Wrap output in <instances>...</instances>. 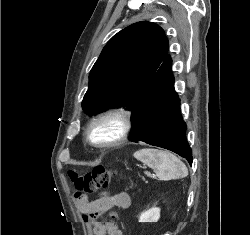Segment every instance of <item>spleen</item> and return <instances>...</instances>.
Segmentation results:
<instances>
[{"mask_svg":"<svg viewBox=\"0 0 250 235\" xmlns=\"http://www.w3.org/2000/svg\"><path fill=\"white\" fill-rule=\"evenodd\" d=\"M134 157L154 169L160 180L184 178L188 175L186 165L174 154L158 149H142Z\"/></svg>","mask_w":250,"mask_h":235,"instance_id":"obj_1","label":"spleen"}]
</instances>
